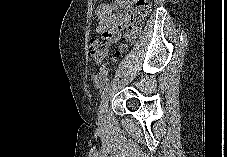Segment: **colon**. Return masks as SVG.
<instances>
[{
  "mask_svg": "<svg viewBox=\"0 0 227 157\" xmlns=\"http://www.w3.org/2000/svg\"><path fill=\"white\" fill-rule=\"evenodd\" d=\"M152 9V2L151 0H136L135 3V12L130 18L129 25L126 29V39L128 41L134 40L139 31L141 30L144 20L149 15ZM124 45L121 46L120 50L117 51L119 55L121 51L124 49ZM107 43L103 39L94 38L90 43L89 53L90 56L93 58L94 62L97 64L103 63L106 54H107ZM110 75V65L109 63L102 64L100 70L94 74L93 81L95 87L101 89L104 87Z\"/></svg>",
  "mask_w": 227,
  "mask_h": 157,
  "instance_id": "5ec220e1",
  "label": "colon"
}]
</instances>
